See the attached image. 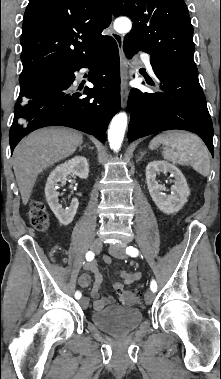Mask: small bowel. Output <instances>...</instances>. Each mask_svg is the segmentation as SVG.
I'll use <instances>...</instances> for the list:
<instances>
[{"mask_svg":"<svg viewBox=\"0 0 221 379\" xmlns=\"http://www.w3.org/2000/svg\"><path fill=\"white\" fill-rule=\"evenodd\" d=\"M104 261L109 264L110 259L105 258ZM85 269L89 272H92L95 276L94 284L91 290V297L95 300L94 309L101 310L109 304L114 302L113 296H101L100 289L103 284V275L99 272L97 264L95 262H88L85 264ZM141 277L139 272H129V271H121L120 272V282H116L113 284V289L120 294L124 291V287L130 285L137 281ZM79 285L83 288L89 287L91 283V278L89 274L83 273L79 276L78 279Z\"/></svg>","mask_w":221,"mask_h":379,"instance_id":"small-bowel-1","label":"small bowel"}]
</instances>
